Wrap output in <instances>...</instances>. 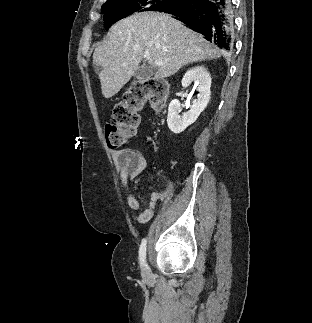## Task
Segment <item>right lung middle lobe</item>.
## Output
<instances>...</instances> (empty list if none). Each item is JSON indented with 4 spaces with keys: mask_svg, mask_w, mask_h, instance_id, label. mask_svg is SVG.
Wrapping results in <instances>:
<instances>
[{
    "mask_svg": "<svg viewBox=\"0 0 312 323\" xmlns=\"http://www.w3.org/2000/svg\"><path fill=\"white\" fill-rule=\"evenodd\" d=\"M183 0H113L102 6L106 28L134 12L160 11L179 5Z\"/></svg>",
    "mask_w": 312,
    "mask_h": 323,
    "instance_id": "1",
    "label": "right lung middle lobe"
}]
</instances>
